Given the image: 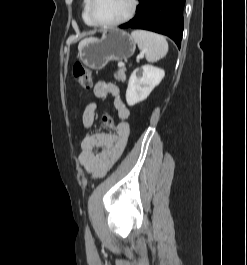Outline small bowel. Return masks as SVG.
I'll use <instances>...</instances> for the list:
<instances>
[{
  "instance_id": "1",
  "label": "small bowel",
  "mask_w": 247,
  "mask_h": 265,
  "mask_svg": "<svg viewBox=\"0 0 247 265\" xmlns=\"http://www.w3.org/2000/svg\"><path fill=\"white\" fill-rule=\"evenodd\" d=\"M93 92L97 98H105L107 95L113 96L119 120L113 134H88L81 142V151L78 156L79 164L94 178H101L116 163L126 147L130 133L127 122L130 110L121 99L119 88L110 82L98 81L94 85ZM96 109L97 104L95 102H91L85 107L82 114V124L85 128H90L93 125Z\"/></svg>"
}]
</instances>
